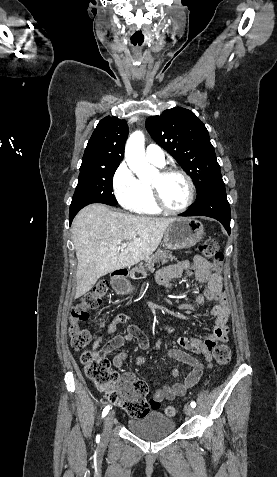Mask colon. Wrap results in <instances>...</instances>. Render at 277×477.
<instances>
[{
  "label": "colon",
  "mask_w": 277,
  "mask_h": 477,
  "mask_svg": "<svg viewBox=\"0 0 277 477\" xmlns=\"http://www.w3.org/2000/svg\"><path fill=\"white\" fill-rule=\"evenodd\" d=\"M199 249L204 257L213 262L216 272L220 273L223 255L219 251L216 240L213 238L205 240ZM107 290L108 284L106 282L97 283L72 309L69 336L75 350L85 349L93 340V335L88 330L80 327L79 324L88 320L90 311L97 309L102 304ZM214 358L222 366L230 362L231 349L226 341L214 349ZM81 361L86 376L96 388L104 393L110 402L124 409L130 416L142 418L151 409L159 408V402L146 399L148 387L143 381L133 380L119 384L117 373L112 370L109 360L100 353L93 350H84ZM164 412L168 417H174L177 413L173 406H167Z\"/></svg>",
  "instance_id": "colon-1"
}]
</instances>
